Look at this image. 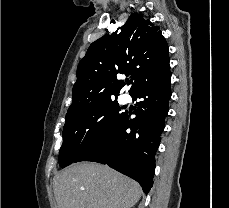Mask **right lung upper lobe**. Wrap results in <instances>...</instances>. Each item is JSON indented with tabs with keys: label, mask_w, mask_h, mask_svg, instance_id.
Wrapping results in <instances>:
<instances>
[{
	"label": "right lung upper lobe",
	"mask_w": 229,
	"mask_h": 208,
	"mask_svg": "<svg viewBox=\"0 0 229 208\" xmlns=\"http://www.w3.org/2000/svg\"><path fill=\"white\" fill-rule=\"evenodd\" d=\"M169 67L168 44L158 26L140 14H132L121 32L93 42L77 67L72 104L67 117L79 115L111 99L125 87L119 74L130 76L128 92L162 76Z\"/></svg>",
	"instance_id": "obj_1"
}]
</instances>
